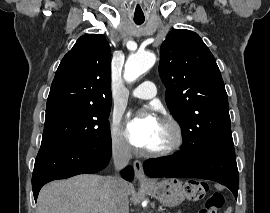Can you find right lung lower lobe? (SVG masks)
Wrapping results in <instances>:
<instances>
[{"instance_id":"1","label":"right lung lower lobe","mask_w":270,"mask_h":213,"mask_svg":"<svg viewBox=\"0 0 270 213\" xmlns=\"http://www.w3.org/2000/svg\"><path fill=\"white\" fill-rule=\"evenodd\" d=\"M111 153V138L80 145L41 146L32 175L34 199L37 200L41 187L50 181L101 171L108 165ZM122 175L125 179L131 180L132 168L127 167Z\"/></svg>"}]
</instances>
